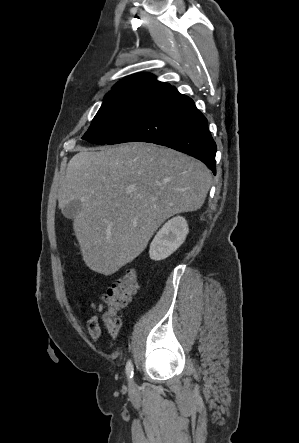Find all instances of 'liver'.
<instances>
[{"label":"liver","instance_id":"6515ba94","mask_svg":"<svg viewBox=\"0 0 299 443\" xmlns=\"http://www.w3.org/2000/svg\"><path fill=\"white\" fill-rule=\"evenodd\" d=\"M212 182L201 161L153 144L133 142L81 149L69 161L59 208L82 202L73 229L82 258L110 275L139 256L169 217L201 208Z\"/></svg>","mask_w":299,"mask_h":443}]
</instances>
